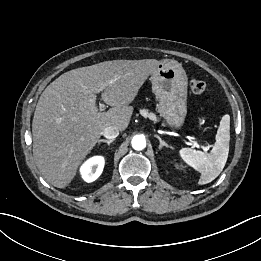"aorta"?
<instances>
[{"instance_id": "762f6f07", "label": "aorta", "mask_w": 261, "mask_h": 261, "mask_svg": "<svg viewBox=\"0 0 261 261\" xmlns=\"http://www.w3.org/2000/svg\"><path fill=\"white\" fill-rule=\"evenodd\" d=\"M132 147L135 150H143L146 147V140L143 135H136L132 138Z\"/></svg>"}]
</instances>
